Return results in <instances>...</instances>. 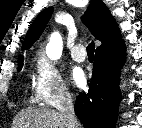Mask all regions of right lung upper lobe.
Instances as JSON below:
<instances>
[{
	"label": "right lung upper lobe",
	"mask_w": 142,
	"mask_h": 128,
	"mask_svg": "<svg viewBox=\"0 0 142 128\" xmlns=\"http://www.w3.org/2000/svg\"><path fill=\"white\" fill-rule=\"evenodd\" d=\"M52 12L53 8L49 7L37 16L24 39L23 49H29L39 38ZM83 21L95 38L102 42L96 51L108 50L123 43L116 21L102 0H91ZM23 60L24 57L20 56L19 62Z\"/></svg>",
	"instance_id": "1"
}]
</instances>
